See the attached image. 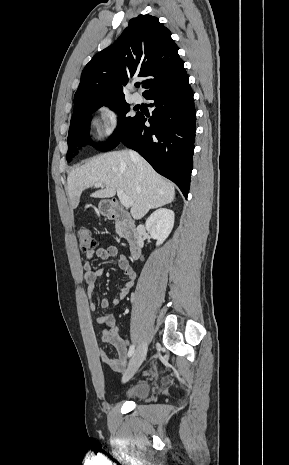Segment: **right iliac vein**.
I'll list each match as a JSON object with an SVG mask.
<instances>
[{"instance_id": "right-iliac-vein-1", "label": "right iliac vein", "mask_w": 289, "mask_h": 465, "mask_svg": "<svg viewBox=\"0 0 289 465\" xmlns=\"http://www.w3.org/2000/svg\"><path fill=\"white\" fill-rule=\"evenodd\" d=\"M146 353H147V343L142 342L135 350L129 362L128 368L123 375V382H127L134 376V374L137 372L140 365L144 361Z\"/></svg>"}]
</instances>
